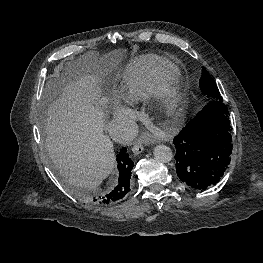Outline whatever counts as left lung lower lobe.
Here are the masks:
<instances>
[{
    "label": "left lung lower lobe",
    "instance_id": "1",
    "mask_svg": "<svg viewBox=\"0 0 263 263\" xmlns=\"http://www.w3.org/2000/svg\"><path fill=\"white\" fill-rule=\"evenodd\" d=\"M229 116L223 100L213 99L173 139L176 172L183 183L203 190L223 176L232 153Z\"/></svg>",
    "mask_w": 263,
    "mask_h": 263
}]
</instances>
